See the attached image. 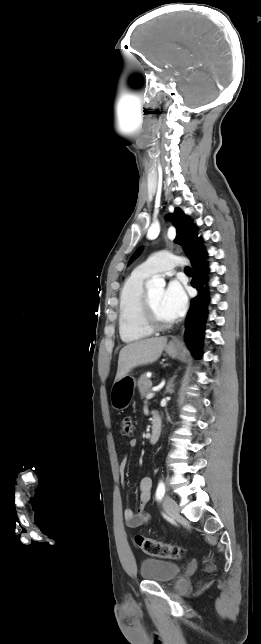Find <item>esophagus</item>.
I'll list each match as a JSON object with an SVG mask.
<instances>
[{
    "mask_svg": "<svg viewBox=\"0 0 261 644\" xmlns=\"http://www.w3.org/2000/svg\"><path fill=\"white\" fill-rule=\"evenodd\" d=\"M183 332H184V328H183ZM180 341H181V336H178L176 339H174V340H173V343H174V344H177V343H179Z\"/></svg>",
    "mask_w": 261,
    "mask_h": 644,
    "instance_id": "34e87169",
    "label": "esophagus"
}]
</instances>
